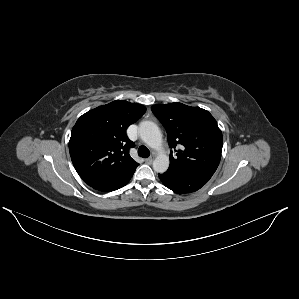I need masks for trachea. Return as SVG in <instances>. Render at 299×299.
<instances>
[{"label":"trachea","instance_id":"3493384b","mask_svg":"<svg viewBox=\"0 0 299 299\" xmlns=\"http://www.w3.org/2000/svg\"><path fill=\"white\" fill-rule=\"evenodd\" d=\"M138 155L142 158H147L150 155V151L145 146H140L138 148Z\"/></svg>","mask_w":299,"mask_h":299}]
</instances>
